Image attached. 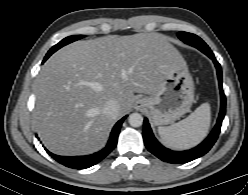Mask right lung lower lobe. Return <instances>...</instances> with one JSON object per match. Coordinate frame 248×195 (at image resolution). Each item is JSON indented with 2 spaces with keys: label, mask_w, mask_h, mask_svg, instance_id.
Returning <instances> with one entry per match:
<instances>
[{
  "label": "right lung lower lobe",
  "mask_w": 248,
  "mask_h": 195,
  "mask_svg": "<svg viewBox=\"0 0 248 195\" xmlns=\"http://www.w3.org/2000/svg\"><path fill=\"white\" fill-rule=\"evenodd\" d=\"M46 61V60H45ZM127 116L123 117L121 120H119L114 128L112 129V132L110 134L109 141L106 145L105 148H103L101 151L87 155V156H73V157H67V156H59L55 155L51 152H48V154L54 158L57 162L60 164L74 168V169H84V168H89L97 163H99L103 158H105L116 146L117 140H118V135L120 132L121 125L124 121V119Z\"/></svg>",
  "instance_id": "right-lung-lower-lobe-1"
}]
</instances>
